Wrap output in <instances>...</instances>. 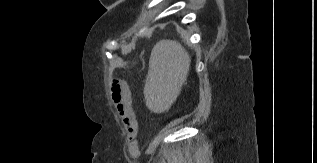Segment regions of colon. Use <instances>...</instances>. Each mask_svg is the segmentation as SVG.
Instances as JSON below:
<instances>
[{
    "instance_id": "obj_1",
    "label": "colon",
    "mask_w": 317,
    "mask_h": 163,
    "mask_svg": "<svg viewBox=\"0 0 317 163\" xmlns=\"http://www.w3.org/2000/svg\"><path fill=\"white\" fill-rule=\"evenodd\" d=\"M112 95L114 102L126 103L129 100L128 86L121 82H114L112 85Z\"/></svg>"
}]
</instances>
